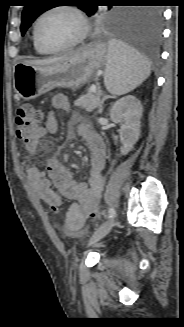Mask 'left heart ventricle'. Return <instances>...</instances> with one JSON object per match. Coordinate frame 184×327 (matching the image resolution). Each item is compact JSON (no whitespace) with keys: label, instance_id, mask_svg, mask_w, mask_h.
Masks as SVG:
<instances>
[{"label":"left heart ventricle","instance_id":"obj_1","mask_svg":"<svg viewBox=\"0 0 184 327\" xmlns=\"http://www.w3.org/2000/svg\"><path fill=\"white\" fill-rule=\"evenodd\" d=\"M81 31L77 18L67 11H55L39 24L40 40L49 47H60L76 39Z\"/></svg>","mask_w":184,"mask_h":327}]
</instances>
